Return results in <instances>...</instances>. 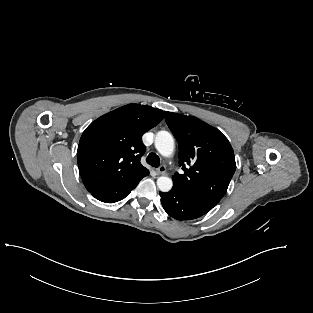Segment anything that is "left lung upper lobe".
I'll use <instances>...</instances> for the list:
<instances>
[{
  "instance_id": "left-lung-upper-lobe-1",
  "label": "left lung upper lobe",
  "mask_w": 313,
  "mask_h": 313,
  "mask_svg": "<svg viewBox=\"0 0 313 313\" xmlns=\"http://www.w3.org/2000/svg\"><path fill=\"white\" fill-rule=\"evenodd\" d=\"M165 120L179 143V166L184 171L172 177L173 187L216 205L236 169L228 139L194 116L165 111Z\"/></svg>"
}]
</instances>
